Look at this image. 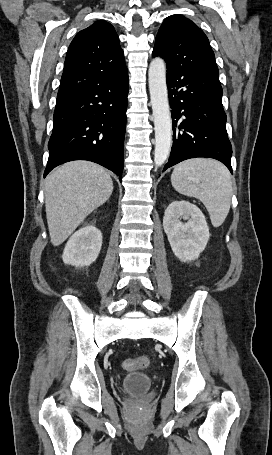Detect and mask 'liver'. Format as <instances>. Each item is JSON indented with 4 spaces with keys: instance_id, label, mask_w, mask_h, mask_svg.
<instances>
[{
    "instance_id": "liver-1",
    "label": "liver",
    "mask_w": 272,
    "mask_h": 455,
    "mask_svg": "<svg viewBox=\"0 0 272 455\" xmlns=\"http://www.w3.org/2000/svg\"><path fill=\"white\" fill-rule=\"evenodd\" d=\"M44 191L51 243L59 246L109 199L113 181L103 167L88 161H73L48 175Z\"/></svg>"
}]
</instances>
